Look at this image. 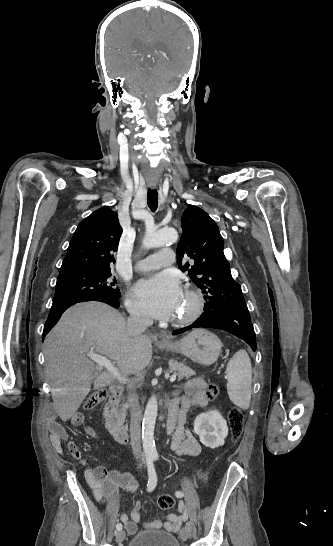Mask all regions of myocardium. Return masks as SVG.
<instances>
[{"mask_svg": "<svg viewBox=\"0 0 333 546\" xmlns=\"http://www.w3.org/2000/svg\"><path fill=\"white\" fill-rule=\"evenodd\" d=\"M184 292L191 300V308L185 316L172 319L171 323L178 327L192 324L200 316L204 307L203 296L197 289L186 286Z\"/></svg>", "mask_w": 333, "mask_h": 546, "instance_id": "f54148a6", "label": "myocardium"}]
</instances>
